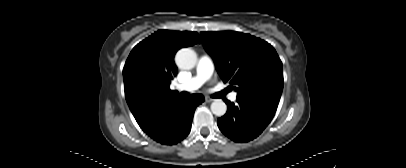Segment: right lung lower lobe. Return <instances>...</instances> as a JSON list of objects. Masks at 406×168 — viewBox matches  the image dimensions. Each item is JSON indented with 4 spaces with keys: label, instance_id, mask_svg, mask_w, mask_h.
I'll return each instance as SVG.
<instances>
[{
    "label": "right lung lower lobe",
    "instance_id": "1",
    "mask_svg": "<svg viewBox=\"0 0 406 168\" xmlns=\"http://www.w3.org/2000/svg\"><path fill=\"white\" fill-rule=\"evenodd\" d=\"M203 101L204 96L201 94H193L189 98L177 96L139 123V126L161 144H176L189 134L195 109Z\"/></svg>",
    "mask_w": 406,
    "mask_h": 168
}]
</instances>
